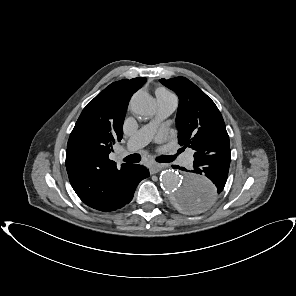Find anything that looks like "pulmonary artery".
Wrapping results in <instances>:
<instances>
[{
	"instance_id": "obj_1",
	"label": "pulmonary artery",
	"mask_w": 296,
	"mask_h": 296,
	"mask_svg": "<svg viewBox=\"0 0 296 296\" xmlns=\"http://www.w3.org/2000/svg\"><path fill=\"white\" fill-rule=\"evenodd\" d=\"M157 115L150 123L141 127L128 140L127 151H135L145 146L154 136L159 122L168 117L177 107L178 99L174 94H156ZM194 161L193 152L188 151L182 158V164L191 166Z\"/></svg>"
}]
</instances>
